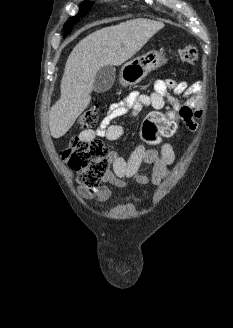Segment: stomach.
I'll return each instance as SVG.
<instances>
[{"mask_svg": "<svg viewBox=\"0 0 233 328\" xmlns=\"http://www.w3.org/2000/svg\"><path fill=\"white\" fill-rule=\"evenodd\" d=\"M165 61L162 52H147L122 66L120 71V82L123 86L135 85L152 70L160 67Z\"/></svg>", "mask_w": 233, "mask_h": 328, "instance_id": "0dacf381", "label": "stomach"}]
</instances>
